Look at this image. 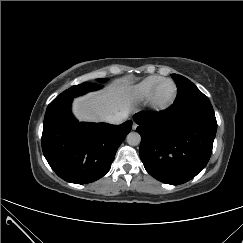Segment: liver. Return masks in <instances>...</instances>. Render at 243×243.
I'll list each match as a JSON object with an SVG mask.
<instances>
[{"mask_svg":"<svg viewBox=\"0 0 243 243\" xmlns=\"http://www.w3.org/2000/svg\"><path fill=\"white\" fill-rule=\"evenodd\" d=\"M132 76L115 80L105 90L76 99L73 113L81 121H105L106 116L130 111Z\"/></svg>","mask_w":243,"mask_h":243,"instance_id":"liver-1","label":"liver"}]
</instances>
